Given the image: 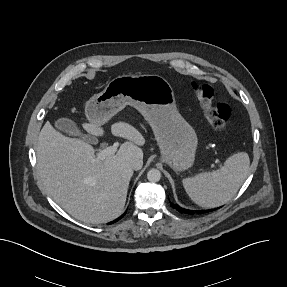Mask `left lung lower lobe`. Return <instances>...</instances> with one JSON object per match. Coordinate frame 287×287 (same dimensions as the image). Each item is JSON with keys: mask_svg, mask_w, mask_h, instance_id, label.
<instances>
[{"mask_svg": "<svg viewBox=\"0 0 287 287\" xmlns=\"http://www.w3.org/2000/svg\"><path fill=\"white\" fill-rule=\"evenodd\" d=\"M172 206V208L176 209L177 211H179L180 213H184V214H203V213H207V212H210V211H213V209L211 210H189V209H185V208H182L180 207L178 204H170Z\"/></svg>", "mask_w": 287, "mask_h": 287, "instance_id": "obj_1", "label": "left lung lower lobe"}]
</instances>
